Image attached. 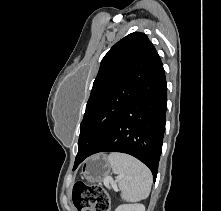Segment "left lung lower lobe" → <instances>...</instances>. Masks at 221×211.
<instances>
[{"label":"left lung lower lobe","mask_w":221,"mask_h":211,"mask_svg":"<svg viewBox=\"0 0 221 211\" xmlns=\"http://www.w3.org/2000/svg\"><path fill=\"white\" fill-rule=\"evenodd\" d=\"M167 84L160 57L140 90L96 146L74 165L98 152L130 154L146 164L156 180L166 123Z\"/></svg>","instance_id":"obj_1"}]
</instances>
